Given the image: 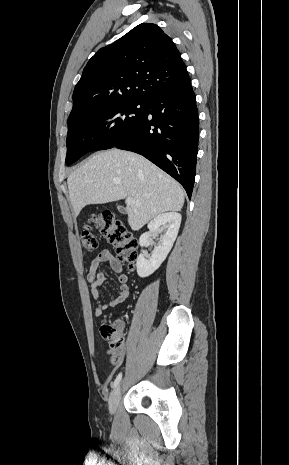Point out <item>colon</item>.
<instances>
[{"instance_id": "obj_1", "label": "colon", "mask_w": 289, "mask_h": 465, "mask_svg": "<svg viewBox=\"0 0 289 465\" xmlns=\"http://www.w3.org/2000/svg\"><path fill=\"white\" fill-rule=\"evenodd\" d=\"M97 228L100 233L115 247L118 259L129 268H133L137 257V241L117 221L111 212L105 211L99 215H93L80 231L82 247L86 250H94L98 245L96 234L93 228ZM100 334L109 343L110 359L119 360L125 350V340L120 333L117 323L103 321L100 327Z\"/></svg>"}]
</instances>
